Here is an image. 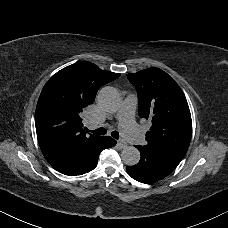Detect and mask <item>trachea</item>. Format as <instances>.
I'll return each mask as SVG.
<instances>
[{
    "mask_svg": "<svg viewBox=\"0 0 228 228\" xmlns=\"http://www.w3.org/2000/svg\"><path fill=\"white\" fill-rule=\"evenodd\" d=\"M92 132L97 135H105L107 133V130L103 127H100L96 130H93ZM111 136L115 139H119V133L117 131H112Z\"/></svg>",
    "mask_w": 228,
    "mask_h": 228,
    "instance_id": "1",
    "label": "trachea"
}]
</instances>
